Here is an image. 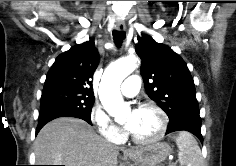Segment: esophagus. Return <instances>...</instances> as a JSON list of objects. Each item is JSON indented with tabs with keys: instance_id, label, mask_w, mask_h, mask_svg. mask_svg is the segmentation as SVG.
Here are the masks:
<instances>
[{
	"instance_id": "1",
	"label": "esophagus",
	"mask_w": 236,
	"mask_h": 166,
	"mask_svg": "<svg viewBox=\"0 0 236 166\" xmlns=\"http://www.w3.org/2000/svg\"><path fill=\"white\" fill-rule=\"evenodd\" d=\"M116 29L120 32H124L125 29H126V26H125V23L124 22H117L116 25H115ZM128 152H134V150L132 149H128L127 150Z\"/></svg>"
}]
</instances>
